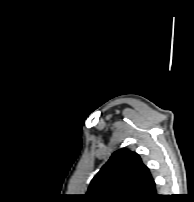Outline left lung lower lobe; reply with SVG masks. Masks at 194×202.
Wrapping results in <instances>:
<instances>
[{"mask_svg":"<svg viewBox=\"0 0 194 202\" xmlns=\"http://www.w3.org/2000/svg\"><path fill=\"white\" fill-rule=\"evenodd\" d=\"M155 198H159V196L157 195Z\"/></svg>","mask_w":194,"mask_h":202,"instance_id":"obj_1","label":"left lung lower lobe"}]
</instances>
